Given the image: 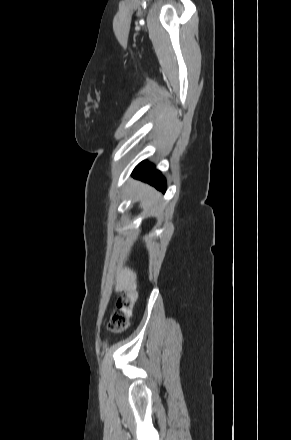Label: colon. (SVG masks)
<instances>
[{
	"mask_svg": "<svg viewBox=\"0 0 291 440\" xmlns=\"http://www.w3.org/2000/svg\"><path fill=\"white\" fill-rule=\"evenodd\" d=\"M137 299L135 286L126 287L118 300V307L112 313L109 320V329L114 333H122L129 326V318L134 311V304Z\"/></svg>",
	"mask_w": 291,
	"mask_h": 440,
	"instance_id": "1",
	"label": "colon"
}]
</instances>
